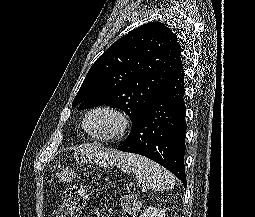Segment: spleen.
<instances>
[{"label":"spleen","instance_id":"3e777b00","mask_svg":"<svg viewBox=\"0 0 255 217\" xmlns=\"http://www.w3.org/2000/svg\"><path fill=\"white\" fill-rule=\"evenodd\" d=\"M114 163L122 169L131 168L143 185L154 191L172 190L174 176L159 164L137 154H119Z\"/></svg>","mask_w":255,"mask_h":217}]
</instances>
